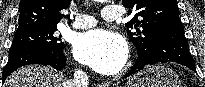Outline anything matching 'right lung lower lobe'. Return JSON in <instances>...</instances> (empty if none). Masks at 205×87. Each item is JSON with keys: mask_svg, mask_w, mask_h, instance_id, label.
I'll use <instances>...</instances> for the list:
<instances>
[{"mask_svg": "<svg viewBox=\"0 0 205 87\" xmlns=\"http://www.w3.org/2000/svg\"><path fill=\"white\" fill-rule=\"evenodd\" d=\"M28 64L50 65L60 71L66 65V57L63 50L54 52L37 46L11 47L7 65L2 73L3 82L10 73Z\"/></svg>", "mask_w": 205, "mask_h": 87, "instance_id": "98d812e1", "label": "right lung lower lobe"}]
</instances>
